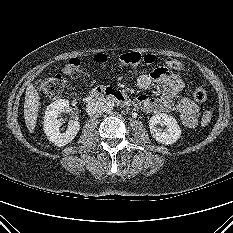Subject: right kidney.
I'll list each match as a JSON object with an SVG mask.
<instances>
[{
  "label": "right kidney",
  "instance_id": "right-kidney-1",
  "mask_svg": "<svg viewBox=\"0 0 233 233\" xmlns=\"http://www.w3.org/2000/svg\"><path fill=\"white\" fill-rule=\"evenodd\" d=\"M68 107L69 101L59 99L51 103L45 111L43 121L44 132L49 141L58 147L65 146L70 143L80 129V123L77 120H72L69 122L68 128L65 132L59 131V128L62 125L61 119H58L59 114L66 111Z\"/></svg>",
  "mask_w": 233,
  "mask_h": 233
}]
</instances>
